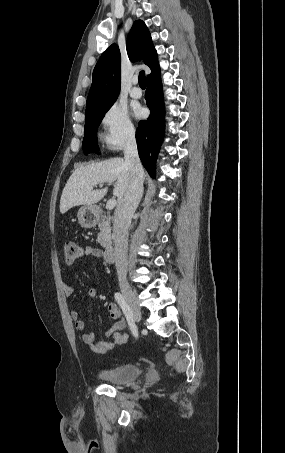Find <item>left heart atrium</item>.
Here are the masks:
<instances>
[{"label":"left heart atrium","instance_id":"left-heart-atrium-1","mask_svg":"<svg viewBox=\"0 0 285 453\" xmlns=\"http://www.w3.org/2000/svg\"><path fill=\"white\" fill-rule=\"evenodd\" d=\"M135 114H136V116L141 117L143 115V109L140 107H137L135 110Z\"/></svg>","mask_w":285,"mask_h":453}]
</instances>
